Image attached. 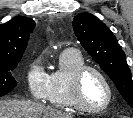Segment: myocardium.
Returning <instances> with one entry per match:
<instances>
[{
	"label": "myocardium",
	"instance_id": "1",
	"mask_svg": "<svg viewBox=\"0 0 133 118\" xmlns=\"http://www.w3.org/2000/svg\"><path fill=\"white\" fill-rule=\"evenodd\" d=\"M90 71H92V72L96 73L98 76H100V78L104 81L105 86L107 88V92H108L107 101L105 102L104 105H102L101 107H98V108H92V107L88 106L85 103L83 94H82L84 77ZM71 95H72V99L78 109H80L84 112L90 113V114H99V113L106 111L112 104V101L114 98V91H113V87H112V84H111L108 76L100 68L93 66V65H84L81 68H79L73 76Z\"/></svg>",
	"mask_w": 133,
	"mask_h": 118
}]
</instances>
